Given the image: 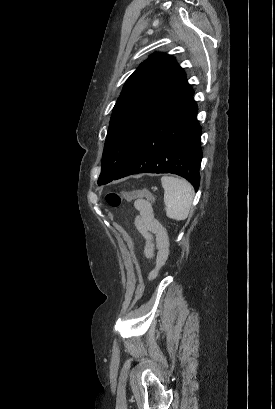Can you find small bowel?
Segmentation results:
<instances>
[{
  "instance_id": "1",
  "label": "small bowel",
  "mask_w": 275,
  "mask_h": 409,
  "mask_svg": "<svg viewBox=\"0 0 275 409\" xmlns=\"http://www.w3.org/2000/svg\"><path fill=\"white\" fill-rule=\"evenodd\" d=\"M135 207L138 216L135 226L141 235L146 239L145 255L150 258L156 249V264L158 270L166 261L169 254V240L162 225L154 218L151 206L144 201H136ZM152 234L155 236V244L152 243ZM153 272L151 278L155 277Z\"/></svg>"
}]
</instances>
